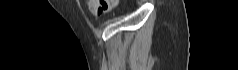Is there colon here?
I'll list each match as a JSON object with an SVG mask.
<instances>
[{"label": "colon", "mask_w": 238, "mask_h": 70, "mask_svg": "<svg viewBox=\"0 0 238 70\" xmlns=\"http://www.w3.org/2000/svg\"><path fill=\"white\" fill-rule=\"evenodd\" d=\"M88 3L93 13L101 15L112 9L118 0H90Z\"/></svg>", "instance_id": "5ec220e1"}]
</instances>
